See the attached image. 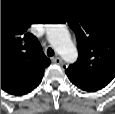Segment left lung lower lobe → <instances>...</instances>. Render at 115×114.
<instances>
[{"label":"left lung lower lobe","instance_id":"obj_1","mask_svg":"<svg viewBox=\"0 0 115 114\" xmlns=\"http://www.w3.org/2000/svg\"><path fill=\"white\" fill-rule=\"evenodd\" d=\"M82 90H85V91H88V92H95L97 90H93V89H82Z\"/></svg>","mask_w":115,"mask_h":114}]
</instances>
